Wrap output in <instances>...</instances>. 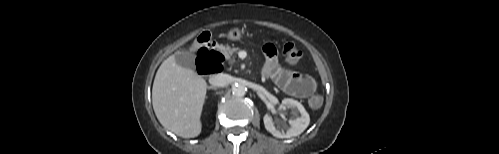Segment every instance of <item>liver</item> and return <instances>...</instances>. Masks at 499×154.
<instances>
[{
  "label": "liver",
  "mask_w": 499,
  "mask_h": 154,
  "mask_svg": "<svg viewBox=\"0 0 499 154\" xmlns=\"http://www.w3.org/2000/svg\"><path fill=\"white\" fill-rule=\"evenodd\" d=\"M207 83L195 71L178 65L175 55L159 67L152 88V104L163 127L183 138L201 133V112Z\"/></svg>",
  "instance_id": "obj_1"
}]
</instances>
